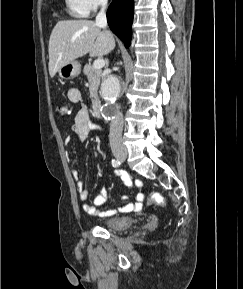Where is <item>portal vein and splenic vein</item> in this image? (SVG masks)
Listing matches in <instances>:
<instances>
[{"instance_id": "obj_1", "label": "portal vein and splenic vein", "mask_w": 243, "mask_h": 289, "mask_svg": "<svg viewBox=\"0 0 243 289\" xmlns=\"http://www.w3.org/2000/svg\"><path fill=\"white\" fill-rule=\"evenodd\" d=\"M105 65V61L103 59H96L93 63V68L95 69H101Z\"/></svg>"}]
</instances>
